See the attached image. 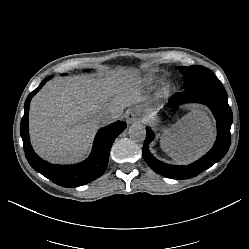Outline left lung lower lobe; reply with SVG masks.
<instances>
[{
	"label": "left lung lower lobe",
	"mask_w": 249,
	"mask_h": 249,
	"mask_svg": "<svg viewBox=\"0 0 249 249\" xmlns=\"http://www.w3.org/2000/svg\"><path fill=\"white\" fill-rule=\"evenodd\" d=\"M228 96L221 84H207L189 91L176 93L169 99L167 106L176 108L180 104L196 102L210 108L217 122V139L213 148L196 162L187 166L163 163L149 151V143L154 139L151 128L146 127L147 136L143 145V157L147 164L158 174L172 179H189L220 161L227 153L231 135L233 114L228 105Z\"/></svg>",
	"instance_id": "left-lung-lower-lobe-1"
}]
</instances>
